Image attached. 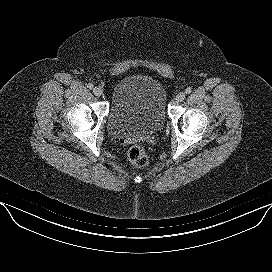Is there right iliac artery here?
Here are the masks:
<instances>
[{
    "mask_svg": "<svg viewBox=\"0 0 272 272\" xmlns=\"http://www.w3.org/2000/svg\"><path fill=\"white\" fill-rule=\"evenodd\" d=\"M87 88L92 89L93 88V84L92 83H88L87 84Z\"/></svg>",
    "mask_w": 272,
    "mask_h": 272,
    "instance_id": "right-iliac-artery-1",
    "label": "right iliac artery"
}]
</instances>
